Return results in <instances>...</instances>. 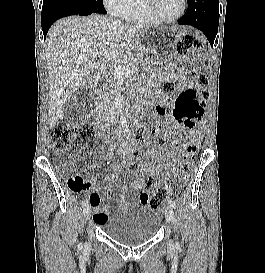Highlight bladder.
<instances>
[{
  "label": "bladder",
  "mask_w": 265,
  "mask_h": 273,
  "mask_svg": "<svg viewBox=\"0 0 265 273\" xmlns=\"http://www.w3.org/2000/svg\"><path fill=\"white\" fill-rule=\"evenodd\" d=\"M162 222L160 212L145 203L127 206L102 223V231L115 242L137 246L153 239Z\"/></svg>",
  "instance_id": "obj_1"
}]
</instances>
